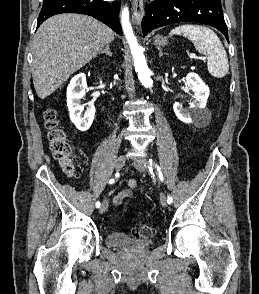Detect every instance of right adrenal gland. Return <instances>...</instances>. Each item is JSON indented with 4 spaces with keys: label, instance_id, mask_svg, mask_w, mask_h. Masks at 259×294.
Masks as SVG:
<instances>
[{
    "label": "right adrenal gland",
    "instance_id": "obj_1",
    "mask_svg": "<svg viewBox=\"0 0 259 294\" xmlns=\"http://www.w3.org/2000/svg\"><path fill=\"white\" fill-rule=\"evenodd\" d=\"M99 54H106L107 56L112 57L109 44L105 47L103 51H100Z\"/></svg>",
    "mask_w": 259,
    "mask_h": 294
}]
</instances>
